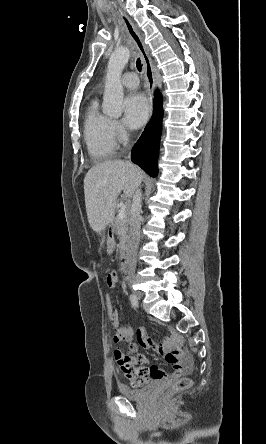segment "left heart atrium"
I'll return each instance as SVG.
<instances>
[{"mask_svg": "<svg viewBox=\"0 0 266 444\" xmlns=\"http://www.w3.org/2000/svg\"><path fill=\"white\" fill-rule=\"evenodd\" d=\"M124 121L130 128H138L145 123L149 114L146 98L139 93H132L124 100Z\"/></svg>", "mask_w": 266, "mask_h": 444, "instance_id": "39dd6f15", "label": "left heart atrium"}]
</instances>
